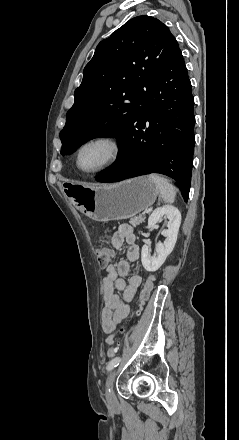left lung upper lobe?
I'll return each mask as SVG.
<instances>
[{
  "label": "left lung upper lobe",
  "instance_id": "left-lung-upper-lobe-1",
  "mask_svg": "<svg viewBox=\"0 0 239 440\" xmlns=\"http://www.w3.org/2000/svg\"><path fill=\"white\" fill-rule=\"evenodd\" d=\"M176 45L168 27L146 15L101 41L67 112L61 154L96 137H119Z\"/></svg>",
  "mask_w": 239,
  "mask_h": 440
}]
</instances>
